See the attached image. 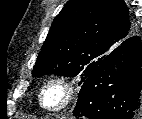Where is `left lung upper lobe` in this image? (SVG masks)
Masks as SVG:
<instances>
[{"instance_id": "5c2ea615", "label": "left lung upper lobe", "mask_w": 142, "mask_h": 119, "mask_svg": "<svg viewBox=\"0 0 142 119\" xmlns=\"http://www.w3.org/2000/svg\"><path fill=\"white\" fill-rule=\"evenodd\" d=\"M135 29L123 0H69L52 23L32 76L79 74L83 84Z\"/></svg>"}]
</instances>
